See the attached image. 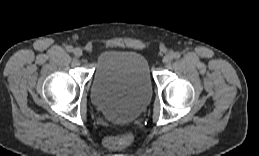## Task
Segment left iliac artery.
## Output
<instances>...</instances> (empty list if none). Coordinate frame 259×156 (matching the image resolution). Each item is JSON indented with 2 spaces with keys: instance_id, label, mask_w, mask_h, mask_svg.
<instances>
[{
  "instance_id": "left-iliac-artery-1",
  "label": "left iliac artery",
  "mask_w": 259,
  "mask_h": 156,
  "mask_svg": "<svg viewBox=\"0 0 259 156\" xmlns=\"http://www.w3.org/2000/svg\"><path fill=\"white\" fill-rule=\"evenodd\" d=\"M180 53L179 52H175V53H173V58H175V59H179L180 58Z\"/></svg>"
}]
</instances>
